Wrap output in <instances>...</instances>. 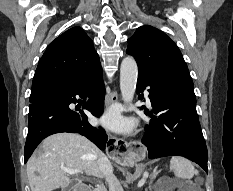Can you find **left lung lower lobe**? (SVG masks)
<instances>
[{"instance_id":"obj_1","label":"left lung lower lobe","mask_w":233,"mask_h":191,"mask_svg":"<svg viewBox=\"0 0 233 191\" xmlns=\"http://www.w3.org/2000/svg\"><path fill=\"white\" fill-rule=\"evenodd\" d=\"M146 86L150 87L153 112L158 114L155 116L145 110V114L152 118L142 139L148 157L183 156L208 172V152L196 111L195 94L138 73L136 92H143Z\"/></svg>"}]
</instances>
